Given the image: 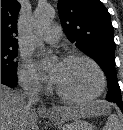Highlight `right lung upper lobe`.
Masks as SVG:
<instances>
[{
    "label": "right lung upper lobe",
    "mask_w": 123,
    "mask_h": 130,
    "mask_svg": "<svg viewBox=\"0 0 123 130\" xmlns=\"http://www.w3.org/2000/svg\"><path fill=\"white\" fill-rule=\"evenodd\" d=\"M19 10L17 0H1V47L18 48L16 33Z\"/></svg>",
    "instance_id": "cb5924a9"
}]
</instances>
